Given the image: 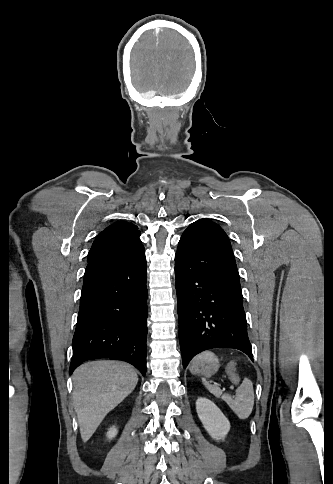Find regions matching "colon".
Returning a JSON list of instances; mask_svg holds the SVG:
<instances>
[{
    "mask_svg": "<svg viewBox=\"0 0 333 484\" xmlns=\"http://www.w3.org/2000/svg\"><path fill=\"white\" fill-rule=\"evenodd\" d=\"M227 374L230 378V380L234 383V384H238L239 383V377L236 373V367L234 364H229L228 368H227Z\"/></svg>",
    "mask_w": 333,
    "mask_h": 484,
    "instance_id": "colon-1",
    "label": "colon"
}]
</instances>
